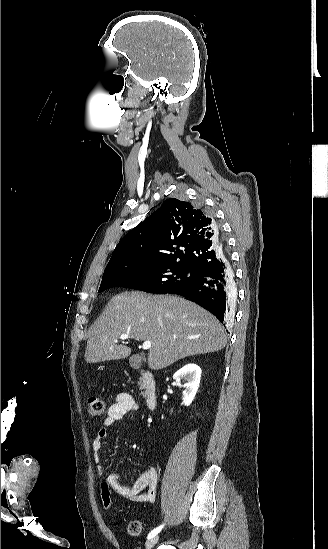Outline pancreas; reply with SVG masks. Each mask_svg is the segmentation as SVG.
Listing matches in <instances>:
<instances>
[{
	"instance_id": "obj_1",
	"label": "pancreas",
	"mask_w": 328,
	"mask_h": 549,
	"mask_svg": "<svg viewBox=\"0 0 328 549\" xmlns=\"http://www.w3.org/2000/svg\"><path fill=\"white\" fill-rule=\"evenodd\" d=\"M137 385H139L140 391H143V389H145V385L144 383H142V379H139Z\"/></svg>"
}]
</instances>
